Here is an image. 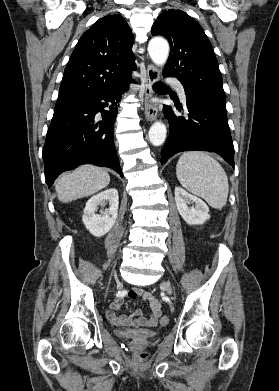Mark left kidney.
Instances as JSON below:
<instances>
[{
	"label": "left kidney",
	"mask_w": 279,
	"mask_h": 391,
	"mask_svg": "<svg viewBox=\"0 0 279 391\" xmlns=\"http://www.w3.org/2000/svg\"><path fill=\"white\" fill-rule=\"evenodd\" d=\"M175 202L179 214L190 225H201L210 218L207 204L181 187H175Z\"/></svg>",
	"instance_id": "1"
}]
</instances>
